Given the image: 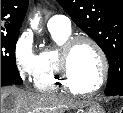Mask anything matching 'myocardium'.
<instances>
[{"mask_svg": "<svg viewBox=\"0 0 123 113\" xmlns=\"http://www.w3.org/2000/svg\"><path fill=\"white\" fill-rule=\"evenodd\" d=\"M90 44L98 53L101 60V75L96 86L90 90L84 89L74 83L70 73V59L73 51L80 43ZM59 70L66 85L79 94L94 95L105 85L109 75V62L101 45L92 37L87 35L70 36L61 46L59 54Z\"/></svg>", "mask_w": 123, "mask_h": 113, "instance_id": "f54148a6", "label": "myocardium"}]
</instances>
